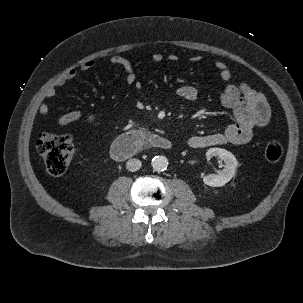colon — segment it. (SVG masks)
<instances>
[{"label": "colon", "instance_id": "1", "mask_svg": "<svg viewBox=\"0 0 303 303\" xmlns=\"http://www.w3.org/2000/svg\"><path fill=\"white\" fill-rule=\"evenodd\" d=\"M88 119L91 120L92 115H89ZM36 148L51 175L58 176L65 173L74 152V144L71 136L42 132L36 142ZM282 154L283 148L280 142L271 141L266 145L264 156L268 162H277Z\"/></svg>", "mask_w": 303, "mask_h": 303}]
</instances>
